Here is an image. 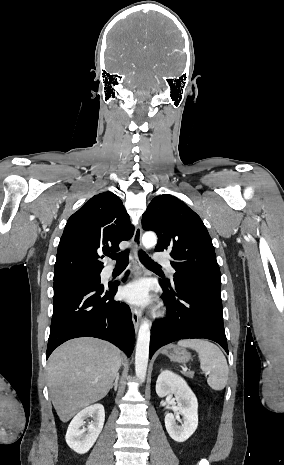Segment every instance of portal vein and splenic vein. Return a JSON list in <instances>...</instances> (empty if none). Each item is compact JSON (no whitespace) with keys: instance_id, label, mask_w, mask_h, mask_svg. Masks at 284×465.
<instances>
[{"instance_id":"obj_1","label":"portal vein and splenic vein","mask_w":284,"mask_h":465,"mask_svg":"<svg viewBox=\"0 0 284 465\" xmlns=\"http://www.w3.org/2000/svg\"><path fill=\"white\" fill-rule=\"evenodd\" d=\"M183 371H184V369H183ZM205 375H208V373H205Z\"/></svg>"}]
</instances>
